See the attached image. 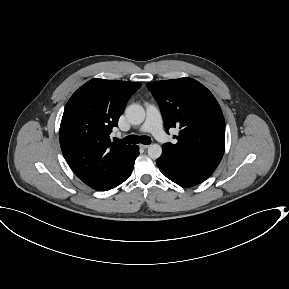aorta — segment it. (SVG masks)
I'll return each instance as SVG.
<instances>
[{
    "label": "aorta",
    "instance_id": "aorta-1",
    "mask_svg": "<svg viewBox=\"0 0 289 289\" xmlns=\"http://www.w3.org/2000/svg\"><path fill=\"white\" fill-rule=\"evenodd\" d=\"M128 121L133 125L141 124L145 119V110L141 105L132 104L125 110ZM162 154V147L159 144H151L148 147V155L151 159H158Z\"/></svg>",
    "mask_w": 289,
    "mask_h": 289
}]
</instances>
